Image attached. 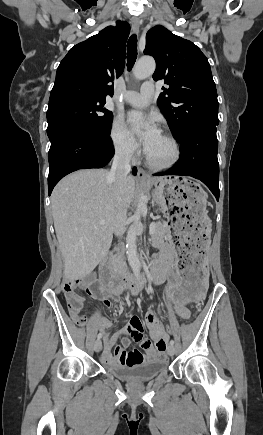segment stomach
Returning <instances> with one entry per match:
<instances>
[{
  "mask_svg": "<svg viewBox=\"0 0 263 435\" xmlns=\"http://www.w3.org/2000/svg\"><path fill=\"white\" fill-rule=\"evenodd\" d=\"M152 196L167 219L172 261L165 262L162 287L172 305H201L210 288L209 269L205 268L207 252L212 246V217L207 216V194L198 182L182 176L154 178Z\"/></svg>",
  "mask_w": 263,
  "mask_h": 435,
  "instance_id": "stomach-1",
  "label": "stomach"
}]
</instances>
